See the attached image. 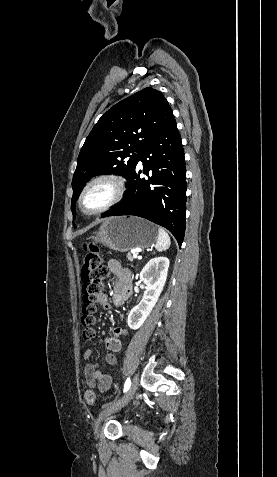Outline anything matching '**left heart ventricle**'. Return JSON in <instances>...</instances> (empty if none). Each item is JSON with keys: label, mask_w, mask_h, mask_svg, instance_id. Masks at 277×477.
Wrapping results in <instances>:
<instances>
[{"label": "left heart ventricle", "mask_w": 277, "mask_h": 477, "mask_svg": "<svg viewBox=\"0 0 277 477\" xmlns=\"http://www.w3.org/2000/svg\"><path fill=\"white\" fill-rule=\"evenodd\" d=\"M112 188L106 183L94 186L84 199V207L86 210H94L103 205L111 196Z\"/></svg>", "instance_id": "left-heart-ventricle-1"}]
</instances>
